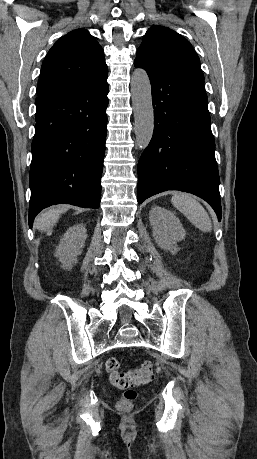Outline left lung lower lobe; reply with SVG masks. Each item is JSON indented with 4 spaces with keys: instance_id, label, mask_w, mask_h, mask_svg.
Instances as JSON below:
<instances>
[{
    "instance_id": "1",
    "label": "left lung lower lobe",
    "mask_w": 257,
    "mask_h": 459,
    "mask_svg": "<svg viewBox=\"0 0 257 459\" xmlns=\"http://www.w3.org/2000/svg\"><path fill=\"white\" fill-rule=\"evenodd\" d=\"M152 88L154 132L138 162V203L180 190L207 201L221 219L219 174L201 69H165L134 61Z\"/></svg>"
}]
</instances>
